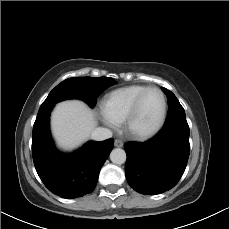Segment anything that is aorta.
<instances>
[{
	"label": "aorta",
	"instance_id": "762f6f07",
	"mask_svg": "<svg viewBox=\"0 0 229 229\" xmlns=\"http://www.w3.org/2000/svg\"><path fill=\"white\" fill-rule=\"evenodd\" d=\"M110 160L114 164H123L126 161V153L123 149L121 148H116L113 149L112 152L110 153Z\"/></svg>",
	"mask_w": 229,
	"mask_h": 229
}]
</instances>
